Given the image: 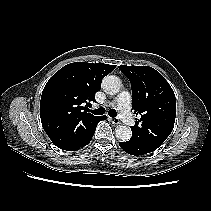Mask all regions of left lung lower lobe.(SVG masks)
<instances>
[{"label": "left lung lower lobe", "mask_w": 211, "mask_h": 211, "mask_svg": "<svg viewBox=\"0 0 211 211\" xmlns=\"http://www.w3.org/2000/svg\"><path fill=\"white\" fill-rule=\"evenodd\" d=\"M119 145L128 154L136 156L150 153L158 148L149 142L135 138H131L127 142H120Z\"/></svg>", "instance_id": "1"}]
</instances>
